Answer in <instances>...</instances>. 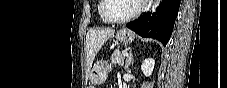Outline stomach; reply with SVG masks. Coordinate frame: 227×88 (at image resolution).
Here are the masks:
<instances>
[{
	"label": "stomach",
	"mask_w": 227,
	"mask_h": 88,
	"mask_svg": "<svg viewBox=\"0 0 227 88\" xmlns=\"http://www.w3.org/2000/svg\"><path fill=\"white\" fill-rule=\"evenodd\" d=\"M116 39L123 43H131L134 34L129 29H121L116 33ZM108 76V67L103 62H97L90 71L89 79L91 83L100 85L104 83Z\"/></svg>",
	"instance_id": "stomach-1"
}]
</instances>
